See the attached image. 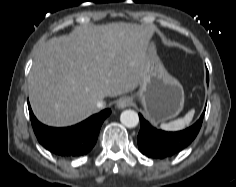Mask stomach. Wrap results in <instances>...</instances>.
I'll return each instance as SVG.
<instances>
[{
    "instance_id": "1",
    "label": "stomach",
    "mask_w": 236,
    "mask_h": 187,
    "mask_svg": "<svg viewBox=\"0 0 236 187\" xmlns=\"http://www.w3.org/2000/svg\"><path fill=\"white\" fill-rule=\"evenodd\" d=\"M147 118L154 124L175 118L184 107V90L160 61L154 41L144 57V71L137 93Z\"/></svg>"
}]
</instances>
